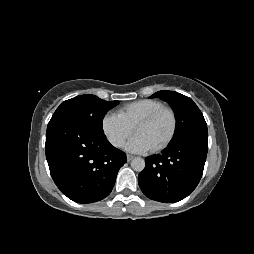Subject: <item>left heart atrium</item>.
I'll return each mask as SVG.
<instances>
[{
	"instance_id": "1",
	"label": "left heart atrium",
	"mask_w": 254,
	"mask_h": 254,
	"mask_svg": "<svg viewBox=\"0 0 254 254\" xmlns=\"http://www.w3.org/2000/svg\"><path fill=\"white\" fill-rule=\"evenodd\" d=\"M150 143L140 134H136L126 144V150L133 153H143L151 150Z\"/></svg>"
}]
</instances>
